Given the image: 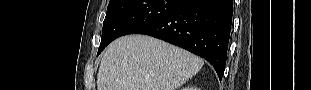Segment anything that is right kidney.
<instances>
[{
    "label": "right kidney",
    "instance_id": "obj_1",
    "mask_svg": "<svg viewBox=\"0 0 311 90\" xmlns=\"http://www.w3.org/2000/svg\"><path fill=\"white\" fill-rule=\"evenodd\" d=\"M197 88H183L182 90H196Z\"/></svg>",
    "mask_w": 311,
    "mask_h": 90
}]
</instances>
